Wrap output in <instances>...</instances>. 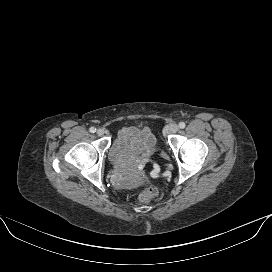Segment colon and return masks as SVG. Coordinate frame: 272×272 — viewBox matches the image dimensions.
I'll list each match as a JSON object with an SVG mask.
<instances>
[{
    "mask_svg": "<svg viewBox=\"0 0 272 272\" xmlns=\"http://www.w3.org/2000/svg\"><path fill=\"white\" fill-rule=\"evenodd\" d=\"M158 195L157 187L151 185L146 187L140 194V201L143 203H149Z\"/></svg>",
    "mask_w": 272,
    "mask_h": 272,
    "instance_id": "colon-1",
    "label": "colon"
}]
</instances>
